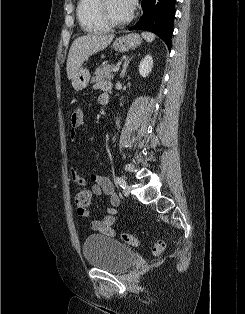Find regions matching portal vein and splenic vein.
<instances>
[{
	"mask_svg": "<svg viewBox=\"0 0 245 314\" xmlns=\"http://www.w3.org/2000/svg\"><path fill=\"white\" fill-rule=\"evenodd\" d=\"M119 69H120V66H116V67H114V68L112 69V72H117V71H119Z\"/></svg>",
	"mask_w": 245,
	"mask_h": 314,
	"instance_id": "18ae733b",
	"label": "portal vein and splenic vein"
}]
</instances>
